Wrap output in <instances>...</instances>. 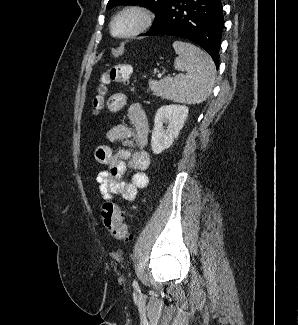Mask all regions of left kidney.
<instances>
[{
	"label": "left kidney",
	"instance_id": "left-kidney-1",
	"mask_svg": "<svg viewBox=\"0 0 298 325\" xmlns=\"http://www.w3.org/2000/svg\"><path fill=\"white\" fill-rule=\"evenodd\" d=\"M189 106L186 104H163L156 110L151 138L154 154H160L171 146L178 136L188 116ZM167 124L166 128L163 124Z\"/></svg>",
	"mask_w": 298,
	"mask_h": 325
}]
</instances>
